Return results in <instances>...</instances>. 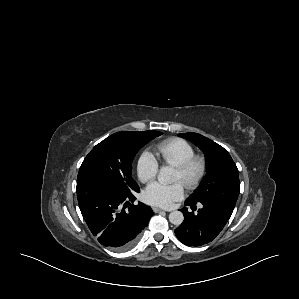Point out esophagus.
I'll return each mask as SVG.
<instances>
[{
  "instance_id": "obj_1",
  "label": "esophagus",
  "mask_w": 299,
  "mask_h": 299,
  "mask_svg": "<svg viewBox=\"0 0 299 299\" xmlns=\"http://www.w3.org/2000/svg\"><path fill=\"white\" fill-rule=\"evenodd\" d=\"M152 209H153V212H155V213H158V212H161V211H165V210H163L161 208H158V207H153Z\"/></svg>"
}]
</instances>
